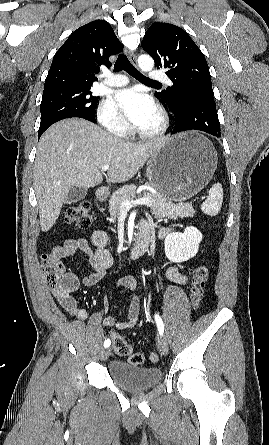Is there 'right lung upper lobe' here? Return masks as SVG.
I'll use <instances>...</instances> for the list:
<instances>
[{
  "instance_id": "right-lung-upper-lobe-1",
  "label": "right lung upper lobe",
  "mask_w": 269,
  "mask_h": 445,
  "mask_svg": "<svg viewBox=\"0 0 269 445\" xmlns=\"http://www.w3.org/2000/svg\"><path fill=\"white\" fill-rule=\"evenodd\" d=\"M123 50L111 25L105 20L92 21L75 30L53 57L44 91L66 87H91L95 74L109 57Z\"/></svg>"
}]
</instances>
